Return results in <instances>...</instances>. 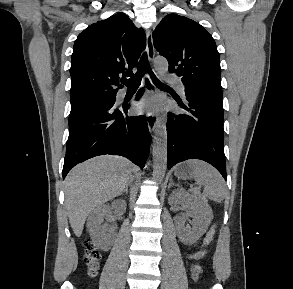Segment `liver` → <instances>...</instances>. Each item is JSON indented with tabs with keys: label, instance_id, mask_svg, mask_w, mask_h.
I'll list each match as a JSON object with an SVG mask.
<instances>
[{
	"label": "liver",
	"instance_id": "obj_1",
	"mask_svg": "<svg viewBox=\"0 0 293 289\" xmlns=\"http://www.w3.org/2000/svg\"><path fill=\"white\" fill-rule=\"evenodd\" d=\"M137 167L120 156H99L75 166L65 179V209L80 237L89 213L120 195Z\"/></svg>",
	"mask_w": 293,
	"mask_h": 289
}]
</instances>
